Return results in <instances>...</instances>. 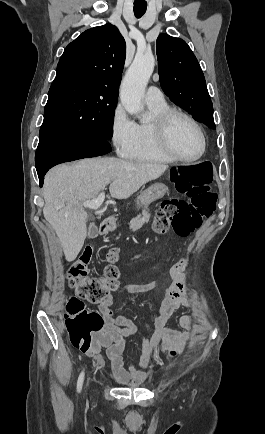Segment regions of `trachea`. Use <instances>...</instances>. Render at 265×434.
<instances>
[{
  "mask_svg": "<svg viewBox=\"0 0 265 434\" xmlns=\"http://www.w3.org/2000/svg\"><path fill=\"white\" fill-rule=\"evenodd\" d=\"M147 4L146 3H134V14L137 18L142 17L144 13L146 12Z\"/></svg>",
  "mask_w": 265,
  "mask_h": 434,
  "instance_id": "obj_1",
  "label": "trachea"
}]
</instances>
